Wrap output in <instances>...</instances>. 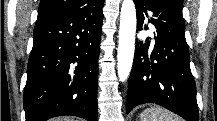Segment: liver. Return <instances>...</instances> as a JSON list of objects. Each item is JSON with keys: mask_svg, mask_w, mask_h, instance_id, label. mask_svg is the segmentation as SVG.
<instances>
[{"mask_svg": "<svg viewBox=\"0 0 217 121\" xmlns=\"http://www.w3.org/2000/svg\"><path fill=\"white\" fill-rule=\"evenodd\" d=\"M54 121H71L70 118L67 117H59V118H55Z\"/></svg>", "mask_w": 217, "mask_h": 121, "instance_id": "liver-1", "label": "liver"}]
</instances>
